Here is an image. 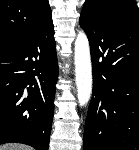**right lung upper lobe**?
<instances>
[{"mask_svg":"<svg viewBox=\"0 0 139 150\" xmlns=\"http://www.w3.org/2000/svg\"><path fill=\"white\" fill-rule=\"evenodd\" d=\"M51 18L48 0H0V46L32 35Z\"/></svg>","mask_w":139,"mask_h":150,"instance_id":"cb5924a9","label":"right lung upper lobe"}]
</instances>
